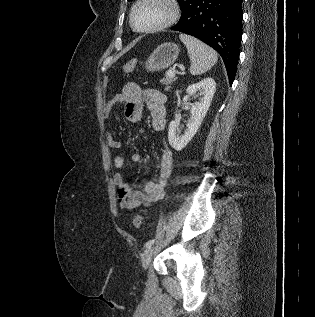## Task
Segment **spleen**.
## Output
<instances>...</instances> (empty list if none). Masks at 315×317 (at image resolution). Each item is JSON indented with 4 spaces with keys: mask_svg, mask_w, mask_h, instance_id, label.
<instances>
[{
    "mask_svg": "<svg viewBox=\"0 0 315 317\" xmlns=\"http://www.w3.org/2000/svg\"><path fill=\"white\" fill-rule=\"evenodd\" d=\"M180 40L187 48L191 61L190 73L201 75L211 69L218 60L217 53L197 38L181 33Z\"/></svg>",
    "mask_w": 315,
    "mask_h": 317,
    "instance_id": "3e777b00",
    "label": "spleen"
}]
</instances>
